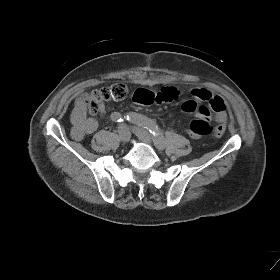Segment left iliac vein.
<instances>
[{
  "label": "left iliac vein",
  "instance_id": "4c4485c4",
  "mask_svg": "<svg viewBox=\"0 0 280 280\" xmlns=\"http://www.w3.org/2000/svg\"><path fill=\"white\" fill-rule=\"evenodd\" d=\"M132 131L135 133V135L146 144H151L153 141V138L151 135L143 128L141 127H133ZM159 149H163L164 145H157Z\"/></svg>",
  "mask_w": 280,
  "mask_h": 280
}]
</instances>
